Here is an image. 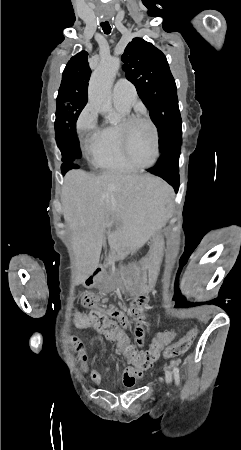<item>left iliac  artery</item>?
I'll return each instance as SVG.
<instances>
[{
  "instance_id": "obj_1",
  "label": "left iliac artery",
  "mask_w": 241,
  "mask_h": 450,
  "mask_svg": "<svg viewBox=\"0 0 241 450\" xmlns=\"http://www.w3.org/2000/svg\"><path fill=\"white\" fill-rule=\"evenodd\" d=\"M173 373H174L175 383L178 386L180 384V375H179V368L175 363H173Z\"/></svg>"
}]
</instances>
